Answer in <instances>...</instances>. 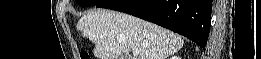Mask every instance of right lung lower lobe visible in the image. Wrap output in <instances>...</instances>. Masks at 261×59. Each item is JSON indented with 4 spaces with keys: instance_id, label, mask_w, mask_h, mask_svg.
Masks as SVG:
<instances>
[{
    "instance_id": "1",
    "label": "right lung lower lobe",
    "mask_w": 261,
    "mask_h": 59,
    "mask_svg": "<svg viewBox=\"0 0 261 59\" xmlns=\"http://www.w3.org/2000/svg\"><path fill=\"white\" fill-rule=\"evenodd\" d=\"M96 7L134 15L179 33L205 48L211 0H102Z\"/></svg>"
}]
</instances>
